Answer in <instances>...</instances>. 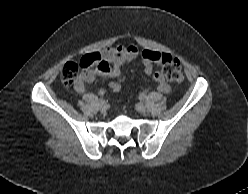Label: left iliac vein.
Returning <instances> with one entry per match:
<instances>
[{
  "label": "left iliac vein",
  "mask_w": 248,
  "mask_h": 194,
  "mask_svg": "<svg viewBox=\"0 0 248 194\" xmlns=\"http://www.w3.org/2000/svg\"><path fill=\"white\" fill-rule=\"evenodd\" d=\"M136 110L139 113H145L146 112V106L142 103H138V104H136Z\"/></svg>",
  "instance_id": "1"
}]
</instances>
